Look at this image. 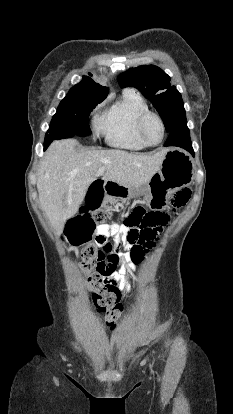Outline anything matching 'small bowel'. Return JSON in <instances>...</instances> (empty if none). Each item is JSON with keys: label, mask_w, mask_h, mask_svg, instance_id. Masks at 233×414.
<instances>
[{"label": "small bowel", "mask_w": 233, "mask_h": 414, "mask_svg": "<svg viewBox=\"0 0 233 414\" xmlns=\"http://www.w3.org/2000/svg\"><path fill=\"white\" fill-rule=\"evenodd\" d=\"M154 233V238L156 236ZM95 242L103 246L109 236H119V231H97ZM98 257L95 273L103 280L102 285L109 294L115 295L127 293L130 290L128 283V273L135 269L131 256L127 251H101ZM105 258H108L106 261ZM98 312L104 311L103 305L94 308Z\"/></svg>", "instance_id": "1"}]
</instances>
